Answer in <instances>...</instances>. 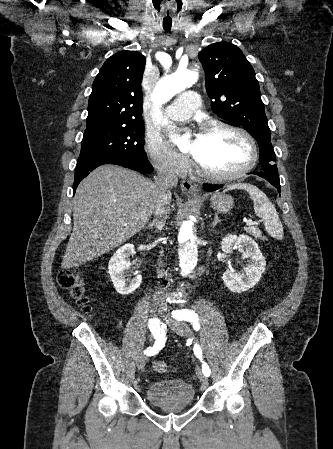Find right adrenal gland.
Wrapping results in <instances>:
<instances>
[{
  "label": "right adrenal gland",
  "instance_id": "2a0ac1e0",
  "mask_svg": "<svg viewBox=\"0 0 333 449\" xmlns=\"http://www.w3.org/2000/svg\"><path fill=\"white\" fill-rule=\"evenodd\" d=\"M164 226V220H153L152 222H150L149 224H147L146 228H155L156 232H158L159 230H161Z\"/></svg>",
  "mask_w": 333,
  "mask_h": 449
}]
</instances>
